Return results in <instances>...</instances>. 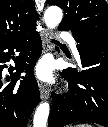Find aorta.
<instances>
[{
  "label": "aorta",
  "mask_w": 108,
  "mask_h": 127,
  "mask_svg": "<svg viewBox=\"0 0 108 127\" xmlns=\"http://www.w3.org/2000/svg\"><path fill=\"white\" fill-rule=\"evenodd\" d=\"M63 18L62 9L58 6L49 7L44 13V21L49 29L57 27ZM50 107L47 102L41 103L35 111L34 127H46Z\"/></svg>",
  "instance_id": "762f6f07"
}]
</instances>
